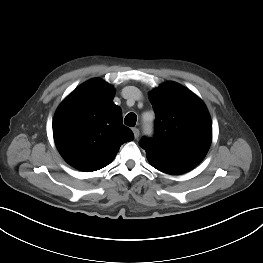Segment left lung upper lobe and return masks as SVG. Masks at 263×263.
I'll use <instances>...</instances> for the list:
<instances>
[{
  "label": "left lung upper lobe",
  "mask_w": 263,
  "mask_h": 263,
  "mask_svg": "<svg viewBox=\"0 0 263 263\" xmlns=\"http://www.w3.org/2000/svg\"><path fill=\"white\" fill-rule=\"evenodd\" d=\"M156 113L155 136L143 138L146 154L160 159L199 164L212 141V123L202 100L175 82H165L150 92Z\"/></svg>",
  "instance_id": "5c2ea615"
}]
</instances>
